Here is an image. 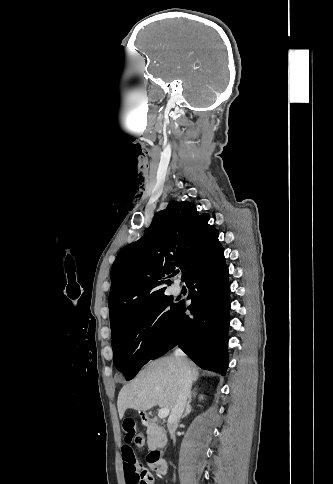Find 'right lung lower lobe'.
<instances>
[{"instance_id":"right-lung-lower-lobe-1","label":"right lung lower lobe","mask_w":333,"mask_h":484,"mask_svg":"<svg viewBox=\"0 0 333 484\" xmlns=\"http://www.w3.org/2000/svg\"><path fill=\"white\" fill-rule=\"evenodd\" d=\"M228 268L220 246L208 262L187 281L192 300L185 314L184 304L151 359L165 354L175 345L201 368L225 374L228 366L229 293Z\"/></svg>"}]
</instances>
